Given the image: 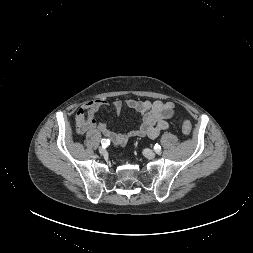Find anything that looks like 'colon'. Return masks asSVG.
<instances>
[{
    "instance_id": "colon-1",
    "label": "colon",
    "mask_w": 253,
    "mask_h": 253,
    "mask_svg": "<svg viewBox=\"0 0 253 253\" xmlns=\"http://www.w3.org/2000/svg\"><path fill=\"white\" fill-rule=\"evenodd\" d=\"M182 132L185 135H189L192 132L191 123L188 120H184L182 123Z\"/></svg>"
}]
</instances>
